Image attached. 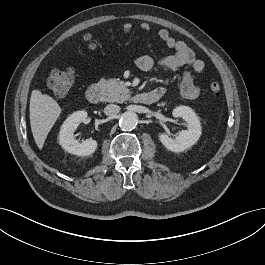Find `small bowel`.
<instances>
[{"label": "small bowel", "instance_id": "c3829d8e", "mask_svg": "<svg viewBox=\"0 0 265 265\" xmlns=\"http://www.w3.org/2000/svg\"><path fill=\"white\" fill-rule=\"evenodd\" d=\"M131 30V23L126 22L123 24V33L127 34L131 32ZM140 30L145 34H149L151 32V26L147 22H143L140 24ZM158 35L164 44L171 50V53L162 57L157 62L150 55H141L136 59L137 68L143 72H149L153 70L156 64L166 70H177L187 66L188 69L184 71L182 75L180 91L181 94L188 99L197 98L200 95L201 89L195 83L194 77L205 73L204 62L196 58L194 52L186 43L174 39L167 30L161 29ZM154 91L164 95L166 93V88L159 87Z\"/></svg>", "mask_w": 265, "mask_h": 265}]
</instances>
